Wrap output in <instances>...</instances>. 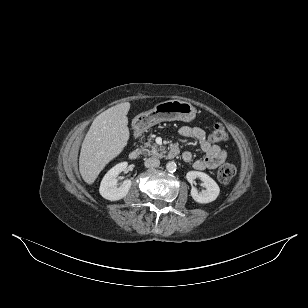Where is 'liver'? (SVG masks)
<instances>
[{"mask_svg": "<svg viewBox=\"0 0 308 308\" xmlns=\"http://www.w3.org/2000/svg\"><path fill=\"white\" fill-rule=\"evenodd\" d=\"M129 109V102L120 103L94 119L79 157V171L87 184H93L104 167L127 145Z\"/></svg>", "mask_w": 308, "mask_h": 308, "instance_id": "1", "label": "liver"}]
</instances>
